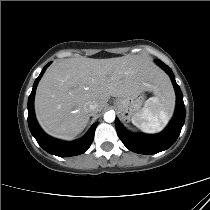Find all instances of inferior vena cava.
<instances>
[{"label": "inferior vena cava", "instance_id": "1", "mask_svg": "<svg viewBox=\"0 0 210 210\" xmlns=\"http://www.w3.org/2000/svg\"><path fill=\"white\" fill-rule=\"evenodd\" d=\"M97 108H98V105H97L96 102H89V104H88V111L90 113L95 112L97 110Z\"/></svg>", "mask_w": 210, "mask_h": 210}]
</instances>
